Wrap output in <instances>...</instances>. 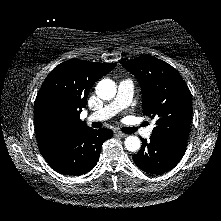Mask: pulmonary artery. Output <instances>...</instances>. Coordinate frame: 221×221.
<instances>
[{
	"label": "pulmonary artery",
	"mask_w": 221,
	"mask_h": 221,
	"mask_svg": "<svg viewBox=\"0 0 221 221\" xmlns=\"http://www.w3.org/2000/svg\"><path fill=\"white\" fill-rule=\"evenodd\" d=\"M134 84L131 79H124L118 85V91L115 99L109 104L105 105L96 112H93L87 117L88 121H103L113 117L121 110L127 108L133 97ZM153 127L149 126L139 130V133L149 138L152 134Z\"/></svg>",
	"instance_id": "1"
}]
</instances>
